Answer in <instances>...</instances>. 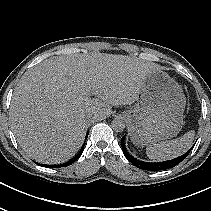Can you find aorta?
Returning <instances> with one entry per match:
<instances>
[{
  "label": "aorta",
  "instance_id": "aorta-1",
  "mask_svg": "<svg viewBox=\"0 0 211 211\" xmlns=\"http://www.w3.org/2000/svg\"><path fill=\"white\" fill-rule=\"evenodd\" d=\"M111 127L116 132H122L125 129V122L120 118H115L111 122Z\"/></svg>",
  "mask_w": 211,
  "mask_h": 211
}]
</instances>
